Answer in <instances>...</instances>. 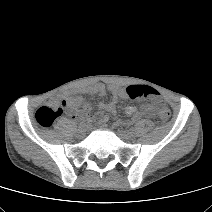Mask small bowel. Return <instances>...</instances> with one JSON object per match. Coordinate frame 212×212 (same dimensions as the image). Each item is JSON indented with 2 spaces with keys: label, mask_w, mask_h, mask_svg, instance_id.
<instances>
[{
  "label": "small bowel",
  "mask_w": 212,
  "mask_h": 212,
  "mask_svg": "<svg viewBox=\"0 0 212 212\" xmlns=\"http://www.w3.org/2000/svg\"><path fill=\"white\" fill-rule=\"evenodd\" d=\"M85 92L94 97H102L107 93L112 96L111 101L100 103L99 107L107 112L115 113L116 106L121 100L129 98L127 89L119 86L107 87L103 83H96L85 89ZM68 107L69 116L73 119L87 121L90 116L91 103L85 100L82 96H70L66 101ZM153 114V108L147 105H141L140 107L130 106L125 112V118L129 121L138 120L142 116H151ZM107 118L103 119L106 122Z\"/></svg>",
  "instance_id": "obj_1"
}]
</instances>
